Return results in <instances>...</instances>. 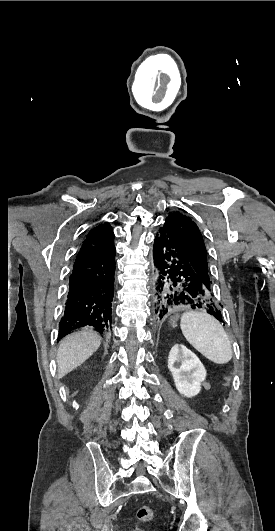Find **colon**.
I'll return each mask as SVG.
<instances>
[{
	"instance_id": "5ec220e1",
	"label": "colon",
	"mask_w": 275,
	"mask_h": 531,
	"mask_svg": "<svg viewBox=\"0 0 275 531\" xmlns=\"http://www.w3.org/2000/svg\"><path fill=\"white\" fill-rule=\"evenodd\" d=\"M229 378L226 377V385H228ZM153 511L149 506H142L137 509L136 520L138 523L145 522L152 518ZM138 530V529H135Z\"/></svg>"
}]
</instances>
